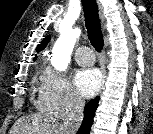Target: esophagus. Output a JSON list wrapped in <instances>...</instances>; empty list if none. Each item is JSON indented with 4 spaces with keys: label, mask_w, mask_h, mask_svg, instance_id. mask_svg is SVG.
<instances>
[{
    "label": "esophagus",
    "mask_w": 153,
    "mask_h": 134,
    "mask_svg": "<svg viewBox=\"0 0 153 134\" xmlns=\"http://www.w3.org/2000/svg\"><path fill=\"white\" fill-rule=\"evenodd\" d=\"M96 1H97L98 9H99V16H100V19L103 23L104 22L103 6H102L100 0H96Z\"/></svg>",
    "instance_id": "1"
}]
</instances>
